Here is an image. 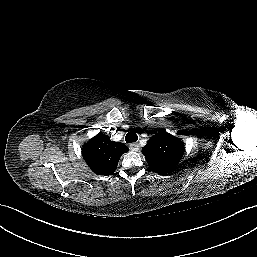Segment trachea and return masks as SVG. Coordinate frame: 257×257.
<instances>
[{
  "instance_id": "1",
  "label": "trachea",
  "mask_w": 257,
  "mask_h": 257,
  "mask_svg": "<svg viewBox=\"0 0 257 257\" xmlns=\"http://www.w3.org/2000/svg\"><path fill=\"white\" fill-rule=\"evenodd\" d=\"M138 140V136L135 132L130 131L127 133L126 137H125V141L127 143H132V142H136Z\"/></svg>"
}]
</instances>
